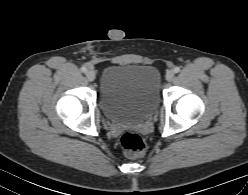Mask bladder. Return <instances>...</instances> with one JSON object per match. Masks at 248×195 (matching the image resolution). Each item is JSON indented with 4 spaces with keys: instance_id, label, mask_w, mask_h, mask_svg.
<instances>
[{
    "instance_id": "1",
    "label": "bladder",
    "mask_w": 248,
    "mask_h": 195,
    "mask_svg": "<svg viewBox=\"0 0 248 195\" xmlns=\"http://www.w3.org/2000/svg\"><path fill=\"white\" fill-rule=\"evenodd\" d=\"M160 95L161 76L152 65H112L100 76V105L113 122L138 123L147 119L157 108Z\"/></svg>"
}]
</instances>
